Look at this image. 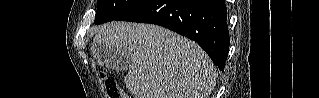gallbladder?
I'll return each mask as SVG.
<instances>
[{
  "label": "gallbladder",
  "mask_w": 319,
  "mask_h": 98,
  "mask_svg": "<svg viewBox=\"0 0 319 98\" xmlns=\"http://www.w3.org/2000/svg\"><path fill=\"white\" fill-rule=\"evenodd\" d=\"M93 53L98 63L105 68L125 71L130 64V59L128 57L119 52L112 51L108 47H97Z\"/></svg>",
  "instance_id": "gallbladder-1"
}]
</instances>
